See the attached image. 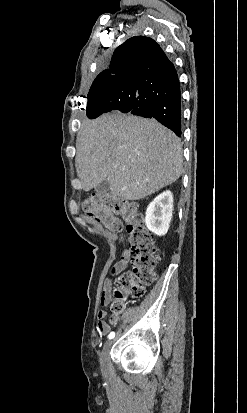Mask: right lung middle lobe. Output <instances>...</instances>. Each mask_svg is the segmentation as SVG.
Segmentation results:
<instances>
[{
    "label": "right lung middle lobe",
    "mask_w": 247,
    "mask_h": 413,
    "mask_svg": "<svg viewBox=\"0 0 247 413\" xmlns=\"http://www.w3.org/2000/svg\"><path fill=\"white\" fill-rule=\"evenodd\" d=\"M131 92L128 84L125 81L108 82L94 80L89 93L86 112L92 111L98 104L111 96H125Z\"/></svg>",
    "instance_id": "1"
}]
</instances>
